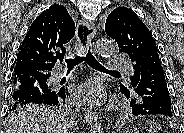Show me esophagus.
Returning <instances> with one entry per match:
<instances>
[{
	"instance_id": "obj_1",
	"label": "esophagus",
	"mask_w": 184,
	"mask_h": 133,
	"mask_svg": "<svg viewBox=\"0 0 184 133\" xmlns=\"http://www.w3.org/2000/svg\"><path fill=\"white\" fill-rule=\"evenodd\" d=\"M96 34V28L94 23L87 22L85 20H82L78 23L77 26V43L76 46L79 48V50L83 51L88 47V45L91 43L92 38ZM84 118L88 124H93L97 120V116L94 112L85 110L84 112Z\"/></svg>"
}]
</instances>
